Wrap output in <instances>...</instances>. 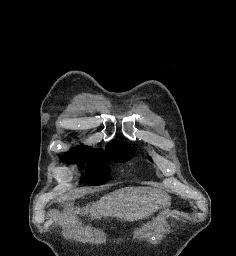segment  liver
I'll list each match as a JSON object with an SVG mask.
<instances>
[{
    "label": "liver",
    "instance_id": "liver-1",
    "mask_svg": "<svg viewBox=\"0 0 236 256\" xmlns=\"http://www.w3.org/2000/svg\"><path fill=\"white\" fill-rule=\"evenodd\" d=\"M169 202L168 194L153 188H121L99 198L97 202L86 204L84 208H67L66 220L73 216H86L90 220H101V218H120V220H142L151 216L160 204ZM71 220L69 224H72Z\"/></svg>",
    "mask_w": 236,
    "mask_h": 256
}]
</instances>
